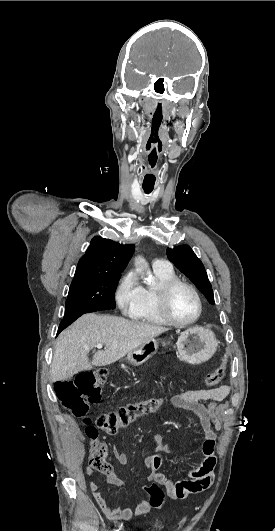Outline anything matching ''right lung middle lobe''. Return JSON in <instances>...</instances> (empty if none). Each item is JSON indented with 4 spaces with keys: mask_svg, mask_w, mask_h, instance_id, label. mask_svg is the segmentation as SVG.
I'll return each instance as SVG.
<instances>
[{
    "mask_svg": "<svg viewBox=\"0 0 275 531\" xmlns=\"http://www.w3.org/2000/svg\"><path fill=\"white\" fill-rule=\"evenodd\" d=\"M121 275L74 277L69 288L62 322L76 316L115 308V291Z\"/></svg>",
    "mask_w": 275,
    "mask_h": 531,
    "instance_id": "right-lung-middle-lobe-1",
    "label": "right lung middle lobe"
}]
</instances>
